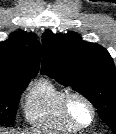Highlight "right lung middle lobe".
Here are the masks:
<instances>
[{
  "label": "right lung middle lobe",
  "mask_w": 116,
  "mask_h": 134,
  "mask_svg": "<svg viewBox=\"0 0 116 134\" xmlns=\"http://www.w3.org/2000/svg\"><path fill=\"white\" fill-rule=\"evenodd\" d=\"M31 79V78H30ZM14 87H0V124H13L22 90L29 80Z\"/></svg>",
  "instance_id": "right-lung-middle-lobe-1"
}]
</instances>
